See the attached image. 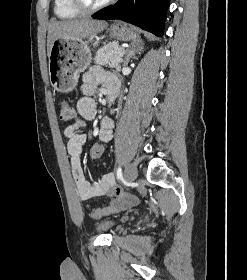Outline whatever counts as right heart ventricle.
<instances>
[{"mask_svg": "<svg viewBox=\"0 0 247 280\" xmlns=\"http://www.w3.org/2000/svg\"><path fill=\"white\" fill-rule=\"evenodd\" d=\"M54 13L63 20L73 19L80 15V12L73 8L70 0H54Z\"/></svg>", "mask_w": 247, "mask_h": 280, "instance_id": "1", "label": "right heart ventricle"}]
</instances>
